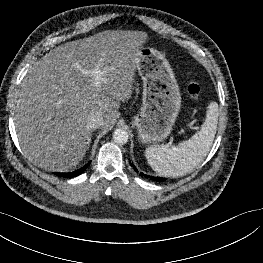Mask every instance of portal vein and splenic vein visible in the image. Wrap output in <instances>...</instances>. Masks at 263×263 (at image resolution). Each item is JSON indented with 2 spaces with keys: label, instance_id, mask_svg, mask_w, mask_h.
Instances as JSON below:
<instances>
[{
  "label": "portal vein and splenic vein",
  "instance_id": "1",
  "mask_svg": "<svg viewBox=\"0 0 263 263\" xmlns=\"http://www.w3.org/2000/svg\"><path fill=\"white\" fill-rule=\"evenodd\" d=\"M87 74H90L91 76H94V85L96 87H99L105 79L103 78V72L98 68H94L92 70L86 71Z\"/></svg>",
  "mask_w": 263,
  "mask_h": 263
}]
</instances>
